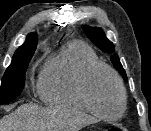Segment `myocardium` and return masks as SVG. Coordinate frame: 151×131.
I'll return each mask as SVG.
<instances>
[{
	"label": "myocardium",
	"mask_w": 151,
	"mask_h": 131,
	"mask_svg": "<svg viewBox=\"0 0 151 131\" xmlns=\"http://www.w3.org/2000/svg\"><path fill=\"white\" fill-rule=\"evenodd\" d=\"M100 71H104L107 72L115 81L120 95H121V108L120 111L116 114V115H106L103 114L102 112H100L91 97V93H90V84H91V80L94 77V75H96L98 72ZM79 94L80 97L82 99V101L84 102V104L86 105L87 109L93 113L95 116L104 119V120H117L119 118H121L126 109H127V92L125 89V86L120 78V76L108 65L102 63V62H97L94 63L92 65H90L86 71L84 72L80 82H79Z\"/></svg>",
	"instance_id": "1"
}]
</instances>
